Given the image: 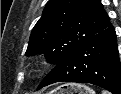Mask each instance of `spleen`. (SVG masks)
Instances as JSON below:
<instances>
[{"instance_id":"1","label":"spleen","mask_w":121,"mask_h":94,"mask_svg":"<svg viewBox=\"0 0 121 94\" xmlns=\"http://www.w3.org/2000/svg\"><path fill=\"white\" fill-rule=\"evenodd\" d=\"M102 94H107V92L106 91H103Z\"/></svg>"}]
</instances>
